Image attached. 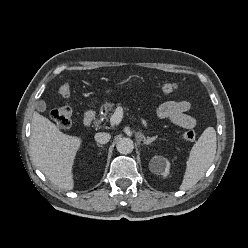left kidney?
<instances>
[{
  "label": "left kidney",
  "mask_w": 248,
  "mask_h": 248,
  "mask_svg": "<svg viewBox=\"0 0 248 248\" xmlns=\"http://www.w3.org/2000/svg\"><path fill=\"white\" fill-rule=\"evenodd\" d=\"M150 170L155 174L167 176L170 170V162L163 156H154L150 163Z\"/></svg>",
  "instance_id": "5707ae66"
}]
</instances>
